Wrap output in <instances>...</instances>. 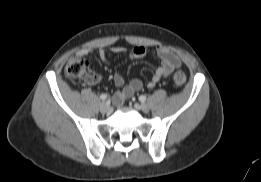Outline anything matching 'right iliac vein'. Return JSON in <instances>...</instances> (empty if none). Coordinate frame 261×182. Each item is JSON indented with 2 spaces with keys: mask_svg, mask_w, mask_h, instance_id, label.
<instances>
[{
  "mask_svg": "<svg viewBox=\"0 0 261 182\" xmlns=\"http://www.w3.org/2000/svg\"><path fill=\"white\" fill-rule=\"evenodd\" d=\"M109 110H110V107L105 102H102L100 104V111L102 113H107Z\"/></svg>",
  "mask_w": 261,
  "mask_h": 182,
  "instance_id": "1",
  "label": "right iliac vein"
}]
</instances>
